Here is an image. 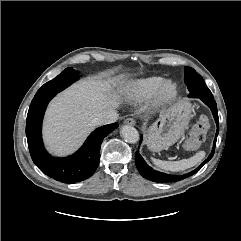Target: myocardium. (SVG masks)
<instances>
[{
  "mask_svg": "<svg viewBox=\"0 0 241 241\" xmlns=\"http://www.w3.org/2000/svg\"><path fill=\"white\" fill-rule=\"evenodd\" d=\"M178 95L176 83L170 80L163 81L151 96L150 106L154 110L170 104Z\"/></svg>",
  "mask_w": 241,
  "mask_h": 241,
  "instance_id": "1",
  "label": "myocardium"
}]
</instances>
